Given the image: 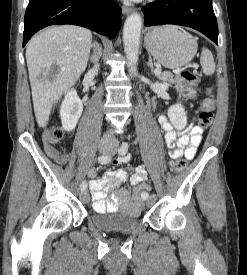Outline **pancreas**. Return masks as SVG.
Here are the masks:
<instances>
[{"mask_svg":"<svg viewBox=\"0 0 247 275\" xmlns=\"http://www.w3.org/2000/svg\"><path fill=\"white\" fill-rule=\"evenodd\" d=\"M159 80L166 82V83H174V75L168 71L163 72L158 76Z\"/></svg>","mask_w":247,"mask_h":275,"instance_id":"pancreas-1","label":"pancreas"}]
</instances>
